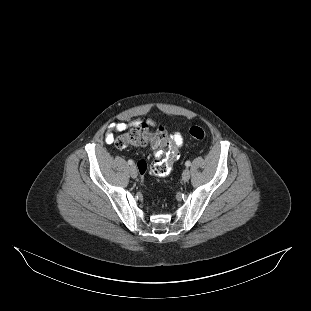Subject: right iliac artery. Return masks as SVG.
I'll return each mask as SVG.
<instances>
[{
	"instance_id": "1",
	"label": "right iliac artery",
	"mask_w": 311,
	"mask_h": 311,
	"mask_svg": "<svg viewBox=\"0 0 311 311\" xmlns=\"http://www.w3.org/2000/svg\"><path fill=\"white\" fill-rule=\"evenodd\" d=\"M128 164H129V165H133L134 162H133L132 160H128Z\"/></svg>"
}]
</instances>
